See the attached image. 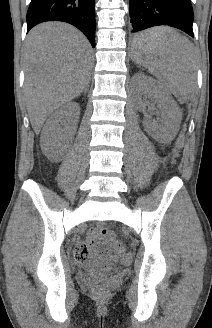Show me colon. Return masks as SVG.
Returning <instances> with one entry per match:
<instances>
[{"mask_svg":"<svg viewBox=\"0 0 212 328\" xmlns=\"http://www.w3.org/2000/svg\"><path fill=\"white\" fill-rule=\"evenodd\" d=\"M101 234L103 235V237H105L110 245L115 249V250H118V251H122L123 250V244L122 242L118 239L117 235L115 232L109 230V229H106V228H103L101 230ZM76 259L79 260V261H82V260H85L86 257H85V254L81 251H76ZM121 262L123 264H128L130 262V256L129 255H124L122 256L121 258ZM93 293L96 295V296H103L105 293H106V289L101 286V285H97L95 287H93Z\"/></svg>","mask_w":212,"mask_h":328,"instance_id":"5ec220e1","label":"colon"}]
</instances>
